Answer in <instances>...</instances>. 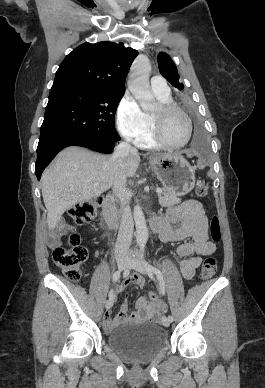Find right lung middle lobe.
<instances>
[{
	"label": "right lung middle lobe",
	"mask_w": 265,
	"mask_h": 388,
	"mask_svg": "<svg viewBox=\"0 0 265 388\" xmlns=\"http://www.w3.org/2000/svg\"><path fill=\"white\" fill-rule=\"evenodd\" d=\"M124 92L75 90L50 94L40 137L59 131H78L99 140L119 141L114 117Z\"/></svg>",
	"instance_id": "1"
}]
</instances>
